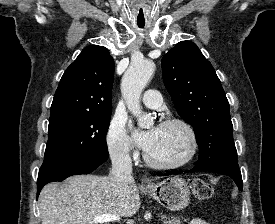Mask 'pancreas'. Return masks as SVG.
<instances>
[{"label":"pancreas","instance_id":"cf45deb5","mask_svg":"<svg viewBox=\"0 0 275 224\" xmlns=\"http://www.w3.org/2000/svg\"><path fill=\"white\" fill-rule=\"evenodd\" d=\"M162 219H163V224H181V218L179 217H171V218L162 217Z\"/></svg>","mask_w":275,"mask_h":224}]
</instances>
